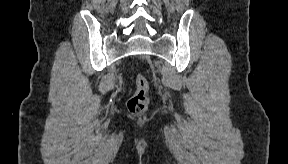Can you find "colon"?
Listing matches in <instances>:
<instances>
[{
  "instance_id": "1",
  "label": "colon",
  "mask_w": 288,
  "mask_h": 164,
  "mask_svg": "<svg viewBox=\"0 0 288 164\" xmlns=\"http://www.w3.org/2000/svg\"><path fill=\"white\" fill-rule=\"evenodd\" d=\"M135 91L127 100V109L133 115L145 113L149 103V84L145 77L137 75L135 77Z\"/></svg>"
}]
</instances>
